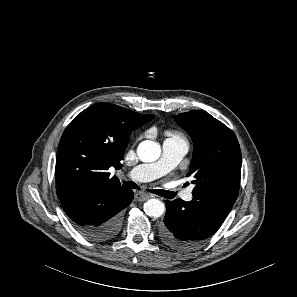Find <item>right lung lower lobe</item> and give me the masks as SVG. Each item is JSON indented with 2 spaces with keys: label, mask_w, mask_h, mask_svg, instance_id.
I'll return each mask as SVG.
<instances>
[{
  "label": "right lung lower lobe",
  "mask_w": 297,
  "mask_h": 297,
  "mask_svg": "<svg viewBox=\"0 0 297 297\" xmlns=\"http://www.w3.org/2000/svg\"><path fill=\"white\" fill-rule=\"evenodd\" d=\"M134 198L132 190L113 186L84 189L63 205L74 227L94 241H107L121 228L123 209Z\"/></svg>",
  "instance_id": "obj_1"
}]
</instances>
